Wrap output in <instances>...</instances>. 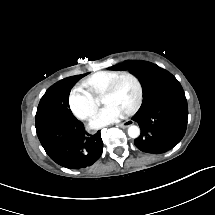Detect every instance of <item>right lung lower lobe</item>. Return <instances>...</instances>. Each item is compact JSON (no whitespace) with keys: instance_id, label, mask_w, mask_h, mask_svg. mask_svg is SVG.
Segmentation results:
<instances>
[{"instance_id":"obj_1","label":"right lung lower lobe","mask_w":215,"mask_h":215,"mask_svg":"<svg viewBox=\"0 0 215 215\" xmlns=\"http://www.w3.org/2000/svg\"><path fill=\"white\" fill-rule=\"evenodd\" d=\"M36 132L48 156L66 168L89 167L102 154L103 142L100 131L90 135L85 132L84 125L80 121L38 125Z\"/></svg>"}]
</instances>
